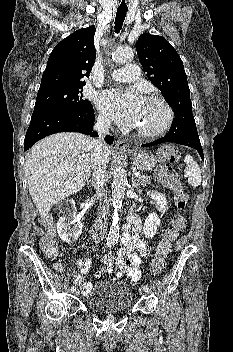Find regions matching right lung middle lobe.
Returning a JSON list of instances; mask_svg holds the SVG:
<instances>
[{
	"mask_svg": "<svg viewBox=\"0 0 233 352\" xmlns=\"http://www.w3.org/2000/svg\"><path fill=\"white\" fill-rule=\"evenodd\" d=\"M84 85H47L39 88L33 114L47 111L80 110L91 108L83 99Z\"/></svg>",
	"mask_w": 233,
	"mask_h": 352,
	"instance_id": "1",
	"label": "right lung middle lobe"
}]
</instances>
